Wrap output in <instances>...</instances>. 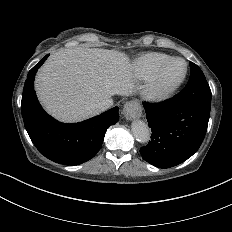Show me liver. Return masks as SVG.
I'll return each instance as SVG.
<instances>
[{
  "mask_svg": "<svg viewBox=\"0 0 232 232\" xmlns=\"http://www.w3.org/2000/svg\"><path fill=\"white\" fill-rule=\"evenodd\" d=\"M129 57L117 50L61 49L37 72L35 90L46 111L62 122L98 115L95 106L111 96L129 95L134 87Z\"/></svg>",
  "mask_w": 232,
  "mask_h": 232,
  "instance_id": "liver-1",
  "label": "liver"
}]
</instances>
